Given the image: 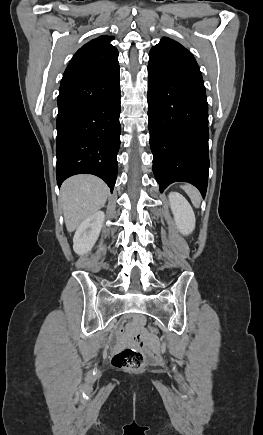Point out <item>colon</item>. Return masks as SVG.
Wrapping results in <instances>:
<instances>
[{
    "instance_id": "obj_1",
    "label": "colon",
    "mask_w": 263,
    "mask_h": 435,
    "mask_svg": "<svg viewBox=\"0 0 263 435\" xmlns=\"http://www.w3.org/2000/svg\"><path fill=\"white\" fill-rule=\"evenodd\" d=\"M146 329H149V332H154L155 335H158V330H155L151 324H146ZM112 365L117 368L136 371L143 367L144 356L138 350L125 348L113 355Z\"/></svg>"
}]
</instances>
